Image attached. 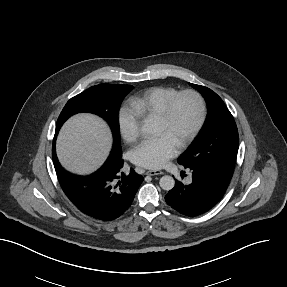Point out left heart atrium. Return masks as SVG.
<instances>
[{
    "label": "left heart atrium",
    "instance_id": "obj_1",
    "mask_svg": "<svg viewBox=\"0 0 287 287\" xmlns=\"http://www.w3.org/2000/svg\"><path fill=\"white\" fill-rule=\"evenodd\" d=\"M178 152V146L166 136L143 141L133 151V162L147 169H159Z\"/></svg>",
    "mask_w": 287,
    "mask_h": 287
}]
</instances>
